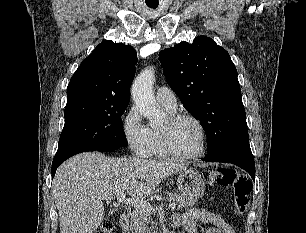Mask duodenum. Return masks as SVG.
<instances>
[{"mask_svg":"<svg viewBox=\"0 0 306 233\" xmlns=\"http://www.w3.org/2000/svg\"><path fill=\"white\" fill-rule=\"evenodd\" d=\"M119 224L122 229L123 233H130L129 226H130V217L127 213H123L119 218Z\"/></svg>","mask_w":306,"mask_h":233,"instance_id":"duodenum-1","label":"duodenum"}]
</instances>
